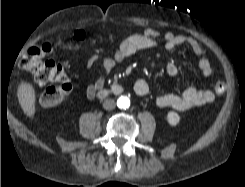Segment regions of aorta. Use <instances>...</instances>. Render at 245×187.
Listing matches in <instances>:
<instances>
[{"label": "aorta", "instance_id": "762f6f07", "mask_svg": "<svg viewBox=\"0 0 245 187\" xmlns=\"http://www.w3.org/2000/svg\"><path fill=\"white\" fill-rule=\"evenodd\" d=\"M117 105L121 109L129 108V106H130V100L126 96H121L117 100Z\"/></svg>", "mask_w": 245, "mask_h": 187}]
</instances>
